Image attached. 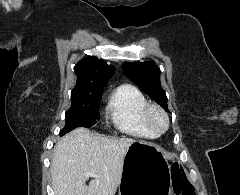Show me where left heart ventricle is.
I'll list each match as a JSON object with an SVG mask.
<instances>
[{
  "label": "left heart ventricle",
  "instance_id": "b2bd125f",
  "mask_svg": "<svg viewBox=\"0 0 240 195\" xmlns=\"http://www.w3.org/2000/svg\"><path fill=\"white\" fill-rule=\"evenodd\" d=\"M155 123L157 125H161V119L159 117H155Z\"/></svg>",
  "mask_w": 240,
  "mask_h": 195
}]
</instances>
